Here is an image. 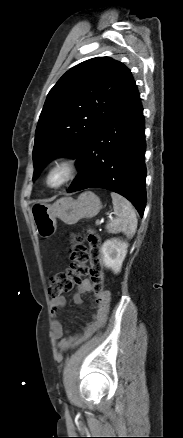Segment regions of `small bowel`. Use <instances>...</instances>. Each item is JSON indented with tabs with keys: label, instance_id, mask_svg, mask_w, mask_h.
<instances>
[{
	"label": "small bowel",
	"instance_id": "small-bowel-1",
	"mask_svg": "<svg viewBox=\"0 0 183 438\" xmlns=\"http://www.w3.org/2000/svg\"><path fill=\"white\" fill-rule=\"evenodd\" d=\"M93 290L92 283L89 279L82 280L77 287L76 292L73 295V301L75 304H82V295L89 293ZM111 294L109 291H103L100 294H95V312L92 315V319L83 328L81 333L76 336L63 339L61 346L63 349H70L74 345L81 343L85 339L92 336L98 329H100L106 322L109 309H110ZM66 306V299L62 296L52 298L50 300V307L52 315L55 317L51 323L52 330L56 339H62L67 333V330L63 327L62 323L56 319L58 311Z\"/></svg>",
	"mask_w": 183,
	"mask_h": 438
}]
</instances>
